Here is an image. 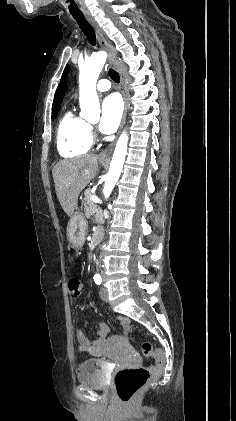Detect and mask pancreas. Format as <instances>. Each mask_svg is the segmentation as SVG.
Masks as SVG:
<instances>
[{
    "mask_svg": "<svg viewBox=\"0 0 236 421\" xmlns=\"http://www.w3.org/2000/svg\"><path fill=\"white\" fill-rule=\"evenodd\" d=\"M84 194L85 217H87V219H90V217L94 215L96 223H99V225H104L105 221L101 206H98V204H95L93 200H90L92 192H90V190H85Z\"/></svg>",
    "mask_w": 236,
    "mask_h": 421,
    "instance_id": "cf45deb5",
    "label": "pancreas"
}]
</instances>
